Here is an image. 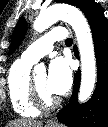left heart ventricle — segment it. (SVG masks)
Wrapping results in <instances>:
<instances>
[{"instance_id": "left-heart-ventricle-1", "label": "left heart ventricle", "mask_w": 108, "mask_h": 127, "mask_svg": "<svg viewBox=\"0 0 108 127\" xmlns=\"http://www.w3.org/2000/svg\"><path fill=\"white\" fill-rule=\"evenodd\" d=\"M46 79H47V76L45 74H40L34 78V81L36 82L41 92L47 98H54V96L46 88Z\"/></svg>"}]
</instances>
